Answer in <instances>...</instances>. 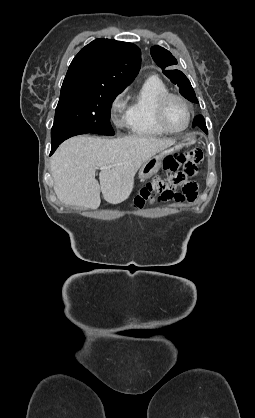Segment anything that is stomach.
<instances>
[{
  "label": "stomach",
  "instance_id": "1",
  "mask_svg": "<svg viewBox=\"0 0 255 418\" xmlns=\"http://www.w3.org/2000/svg\"><path fill=\"white\" fill-rule=\"evenodd\" d=\"M196 142V138L194 136L184 138L180 143L176 144L171 149L165 150L159 155H156L146 161L139 170V178L143 181L150 178L153 174H155L159 168L161 167V162L164 156L170 154L174 151L179 150L183 146H189Z\"/></svg>",
  "mask_w": 255,
  "mask_h": 418
}]
</instances>
